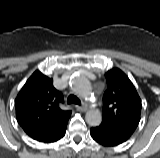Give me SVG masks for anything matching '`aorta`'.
Masks as SVG:
<instances>
[{
  "label": "aorta",
  "mask_w": 160,
  "mask_h": 158,
  "mask_svg": "<svg viewBox=\"0 0 160 158\" xmlns=\"http://www.w3.org/2000/svg\"><path fill=\"white\" fill-rule=\"evenodd\" d=\"M72 89L84 98H88L91 94V86L89 81L83 76H73L70 79ZM85 120L90 126H99L102 121V114L98 109L89 110L86 113Z\"/></svg>",
  "instance_id": "1"
}]
</instances>
